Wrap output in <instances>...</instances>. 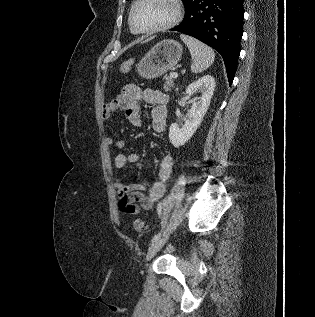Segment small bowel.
<instances>
[{
    "mask_svg": "<svg viewBox=\"0 0 315 317\" xmlns=\"http://www.w3.org/2000/svg\"><path fill=\"white\" fill-rule=\"evenodd\" d=\"M143 101L152 105L151 124L155 132L162 133L167 125L168 96L160 91L146 89L140 90L136 85H126L121 93L112 101L104 105L102 111L103 120H108L118 110H123L129 123L140 126L141 106ZM105 142L108 146L122 149L124 142L112 136H106ZM139 160L137 153H119L114 158L116 168H124ZM173 161L170 155H165L158 166V179L152 184L125 183L121 179L115 181L120 211L129 215H136L140 209L150 210L154 204L163 196L166 182L172 172Z\"/></svg>",
    "mask_w": 315,
    "mask_h": 317,
    "instance_id": "obj_1",
    "label": "small bowel"
}]
</instances>
